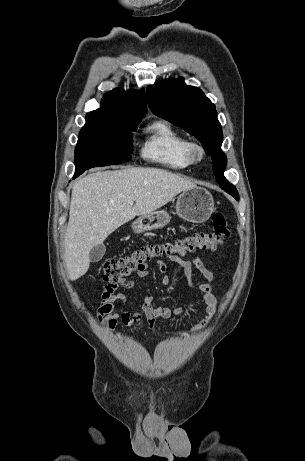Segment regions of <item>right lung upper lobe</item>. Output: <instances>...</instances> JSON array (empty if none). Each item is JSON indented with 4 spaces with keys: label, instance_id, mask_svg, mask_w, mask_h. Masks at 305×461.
<instances>
[{
    "label": "right lung upper lobe",
    "instance_id": "1",
    "mask_svg": "<svg viewBox=\"0 0 305 461\" xmlns=\"http://www.w3.org/2000/svg\"><path fill=\"white\" fill-rule=\"evenodd\" d=\"M145 92L116 88L104 95L101 107L87 117L121 121H141L146 110Z\"/></svg>",
    "mask_w": 305,
    "mask_h": 461
}]
</instances>
